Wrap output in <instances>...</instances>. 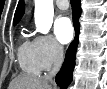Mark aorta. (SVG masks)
Here are the masks:
<instances>
[{
    "mask_svg": "<svg viewBox=\"0 0 107 89\" xmlns=\"http://www.w3.org/2000/svg\"><path fill=\"white\" fill-rule=\"evenodd\" d=\"M53 0H35V25L36 30L42 34H47L53 23Z\"/></svg>",
    "mask_w": 107,
    "mask_h": 89,
    "instance_id": "762f6f07",
    "label": "aorta"
}]
</instances>
